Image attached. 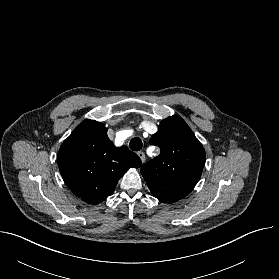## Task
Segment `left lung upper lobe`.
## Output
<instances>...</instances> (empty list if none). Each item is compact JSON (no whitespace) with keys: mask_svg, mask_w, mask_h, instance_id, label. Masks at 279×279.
Masks as SVG:
<instances>
[{"mask_svg":"<svg viewBox=\"0 0 279 279\" xmlns=\"http://www.w3.org/2000/svg\"><path fill=\"white\" fill-rule=\"evenodd\" d=\"M150 143L159 156L141 168L152 194L163 203L176 202L197 184L205 164V150L186 122L174 115L161 121Z\"/></svg>","mask_w":279,"mask_h":279,"instance_id":"5c2ea615","label":"left lung upper lobe"}]
</instances>
